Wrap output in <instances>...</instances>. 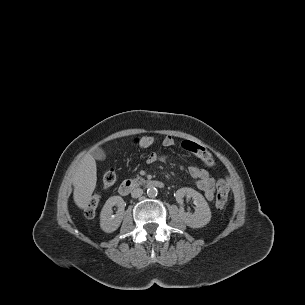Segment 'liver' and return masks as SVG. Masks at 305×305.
I'll return each instance as SVG.
<instances>
[{
  "mask_svg": "<svg viewBox=\"0 0 305 305\" xmlns=\"http://www.w3.org/2000/svg\"><path fill=\"white\" fill-rule=\"evenodd\" d=\"M96 182V161L90 153H86L78 163L73 176V198L79 208H85L90 202Z\"/></svg>",
  "mask_w": 305,
  "mask_h": 305,
  "instance_id": "6515ba94",
  "label": "liver"
}]
</instances>
